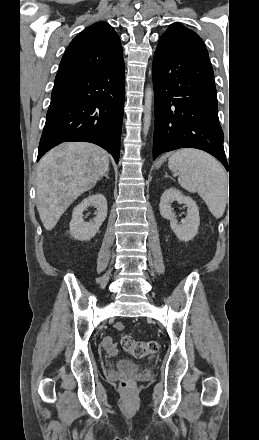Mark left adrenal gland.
I'll use <instances>...</instances> for the list:
<instances>
[{
	"label": "left adrenal gland",
	"mask_w": 259,
	"mask_h": 440,
	"mask_svg": "<svg viewBox=\"0 0 259 440\" xmlns=\"http://www.w3.org/2000/svg\"><path fill=\"white\" fill-rule=\"evenodd\" d=\"M165 177H170L167 172H165ZM172 179V177H170Z\"/></svg>",
	"instance_id": "left-adrenal-gland-1"
}]
</instances>
